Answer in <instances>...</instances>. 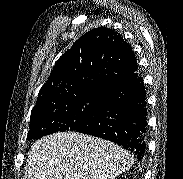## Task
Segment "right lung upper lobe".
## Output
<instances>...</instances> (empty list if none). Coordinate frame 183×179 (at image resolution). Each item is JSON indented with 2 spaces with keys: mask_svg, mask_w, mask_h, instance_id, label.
<instances>
[{
  "mask_svg": "<svg viewBox=\"0 0 183 179\" xmlns=\"http://www.w3.org/2000/svg\"><path fill=\"white\" fill-rule=\"evenodd\" d=\"M138 70L131 45L119 33L105 27L92 29L58 59L35 106L102 94L109 85Z\"/></svg>",
  "mask_w": 183,
  "mask_h": 179,
  "instance_id": "cb5924a9",
  "label": "right lung upper lobe"
}]
</instances>
